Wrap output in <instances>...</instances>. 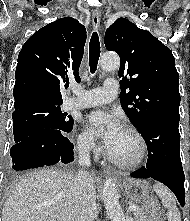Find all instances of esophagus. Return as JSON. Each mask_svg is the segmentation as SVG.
<instances>
[{"instance_id": "34e87169", "label": "esophagus", "mask_w": 190, "mask_h": 221, "mask_svg": "<svg viewBox=\"0 0 190 221\" xmlns=\"http://www.w3.org/2000/svg\"><path fill=\"white\" fill-rule=\"evenodd\" d=\"M100 19H101V11L99 9H95L92 11V26L95 31H98L100 27ZM106 174H116V171L111 167H106L104 169Z\"/></svg>"}]
</instances>
